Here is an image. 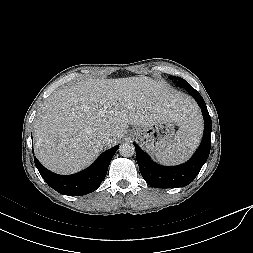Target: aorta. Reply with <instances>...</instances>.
Returning a JSON list of instances; mask_svg holds the SVG:
<instances>
[{"mask_svg": "<svg viewBox=\"0 0 253 253\" xmlns=\"http://www.w3.org/2000/svg\"><path fill=\"white\" fill-rule=\"evenodd\" d=\"M119 153L123 157H131L135 153V147L132 143L130 142H123L119 146Z\"/></svg>", "mask_w": 253, "mask_h": 253, "instance_id": "aorta-1", "label": "aorta"}]
</instances>
